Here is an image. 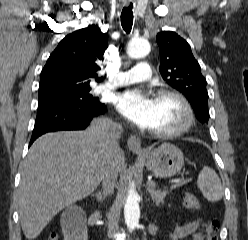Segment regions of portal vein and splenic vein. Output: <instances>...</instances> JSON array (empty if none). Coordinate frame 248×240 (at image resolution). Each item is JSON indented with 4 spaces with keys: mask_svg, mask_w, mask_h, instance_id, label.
I'll return each instance as SVG.
<instances>
[{
    "mask_svg": "<svg viewBox=\"0 0 248 240\" xmlns=\"http://www.w3.org/2000/svg\"><path fill=\"white\" fill-rule=\"evenodd\" d=\"M147 185H148V186H154L155 183H154L153 181H148V182H147Z\"/></svg>",
    "mask_w": 248,
    "mask_h": 240,
    "instance_id": "18ae733b",
    "label": "portal vein and splenic vein"
}]
</instances>
